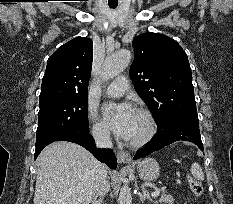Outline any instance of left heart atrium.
Instances as JSON below:
<instances>
[{
    "mask_svg": "<svg viewBox=\"0 0 233 204\" xmlns=\"http://www.w3.org/2000/svg\"><path fill=\"white\" fill-rule=\"evenodd\" d=\"M134 109L127 103H109L103 108V117L112 132L123 139H129Z\"/></svg>",
    "mask_w": 233,
    "mask_h": 204,
    "instance_id": "1",
    "label": "left heart atrium"
}]
</instances>
